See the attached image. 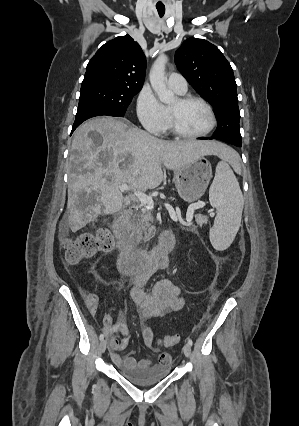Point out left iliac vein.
Returning a JSON list of instances; mask_svg holds the SVG:
<instances>
[{"mask_svg": "<svg viewBox=\"0 0 299 426\" xmlns=\"http://www.w3.org/2000/svg\"><path fill=\"white\" fill-rule=\"evenodd\" d=\"M183 353L186 357H190L191 355V346L187 343L183 347Z\"/></svg>", "mask_w": 299, "mask_h": 426, "instance_id": "1", "label": "left iliac vein"}]
</instances>
